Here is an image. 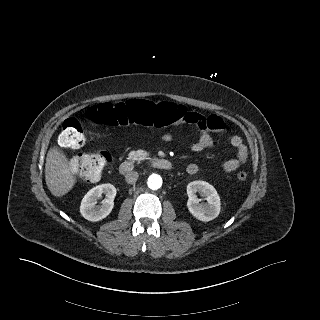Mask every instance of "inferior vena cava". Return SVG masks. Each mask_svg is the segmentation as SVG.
I'll use <instances>...</instances> for the list:
<instances>
[{
  "label": "inferior vena cava",
  "mask_w": 320,
  "mask_h": 320,
  "mask_svg": "<svg viewBox=\"0 0 320 320\" xmlns=\"http://www.w3.org/2000/svg\"><path fill=\"white\" fill-rule=\"evenodd\" d=\"M138 172L136 171H130L126 174L125 176V180L127 183L129 184H134L136 183L137 179H138Z\"/></svg>",
  "instance_id": "inferior-vena-cava-1"
}]
</instances>
